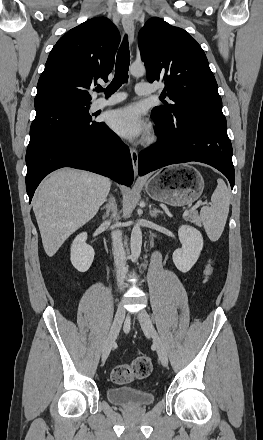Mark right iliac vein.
Returning <instances> with one entry per match:
<instances>
[{"label": "right iliac vein", "instance_id": "63e3f726", "mask_svg": "<svg viewBox=\"0 0 263 440\" xmlns=\"http://www.w3.org/2000/svg\"><path fill=\"white\" fill-rule=\"evenodd\" d=\"M124 318H125V309L123 308L122 305H119L116 310V313H115L112 327L109 331V334L107 336V339L105 341V344H104V347L102 350L101 360L103 363L107 360V358H108V356H109V354L115 344L116 338L119 334V331L121 329Z\"/></svg>", "mask_w": 263, "mask_h": 440}]
</instances>
